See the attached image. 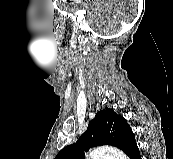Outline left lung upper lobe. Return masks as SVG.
I'll use <instances>...</instances> for the list:
<instances>
[{"mask_svg": "<svg viewBox=\"0 0 173 159\" xmlns=\"http://www.w3.org/2000/svg\"><path fill=\"white\" fill-rule=\"evenodd\" d=\"M136 144L126 119L112 109L99 111L76 143L63 148L55 159H84V152L100 145H111L127 153Z\"/></svg>", "mask_w": 173, "mask_h": 159, "instance_id": "obj_1", "label": "left lung upper lobe"}]
</instances>
